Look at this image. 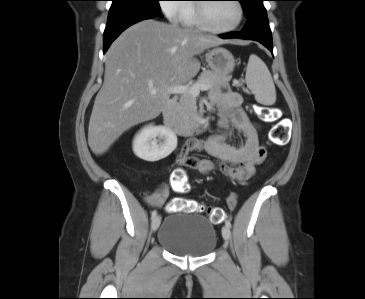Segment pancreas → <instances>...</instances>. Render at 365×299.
I'll return each instance as SVG.
<instances>
[{"instance_id": "pancreas-1", "label": "pancreas", "mask_w": 365, "mask_h": 299, "mask_svg": "<svg viewBox=\"0 0 365 299\" xmlns=\"http://www.w3.org/2000/svg\"><path fill=\"white\" fill-rule=\"evenodd\" d=\"M229 77L207 70L200 74L195 84H208L210 89L226 85ZM197 116L196 99L190 94H183L175 106V120L184 129H191L195 125Z\"/></svg>"}]
</instances>
